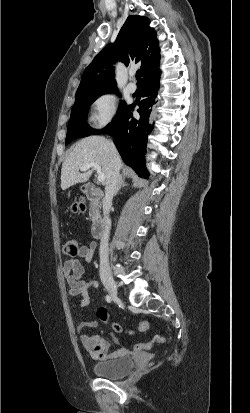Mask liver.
Masks as SVG:
<instances>
[{
    "label": "liver",
    "instance_id": "liver-1",
    "mask_svg": "<svg viewBox=\"0 0 250 413\" xmlns=\"http://www.w3.org/2000/svg\"><path fill=\"white\" fill-rule=\"evenodd\" d=\"M90 162L99 164L107 183L110 180L113 167L111 142L108 139L102 136H89L75 144L62 164V190H66L77 183L87 182L93 171L87 170L84 173H80L79 170L84 164Z\"/></svg>",
    "mask_w": 250,
    "mask_h": 413
}]
</instances>
